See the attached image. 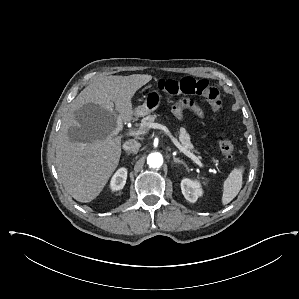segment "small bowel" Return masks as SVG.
Wrapping results in <instances>:
<instances>
[{
    "instance_id": "obj_1",
    "label": "small bowel",
    "mask_w": 299,
    "mask_h": 299,
    "mask_svg": "<svg viewBox=\"0 0 299 299\" xmlns=\"http://www.w3.org/2000/svg\"><path fill=\"white\" fill-rule=\"evenodd\" d=\"M191 109L199 118H203L202 110L190 100H181L173 106L172 112L178 118L181 119L183 117L184 109Z\"/></svg>"
}]
</instances>
